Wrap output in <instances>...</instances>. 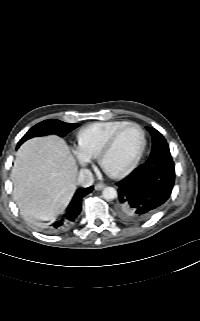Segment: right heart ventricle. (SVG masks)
<instances>
[{"mask_svg":"<svg viewBox=\"0 0 200 321\" xmlns=\"http://www.w3.org/2000/svg\"><path fill=\"white\" fill-rule=\"evenodd\" d=\"M129 123L126 120H111L91 123L77 133L79 149L87 156L97 157L99 151L110 138V136L120 127Z\"/></svg>","mask_w":200,"mask_h":321,"instance_id":"obj_1","label":"right heart ventricle"}]
</instances>
